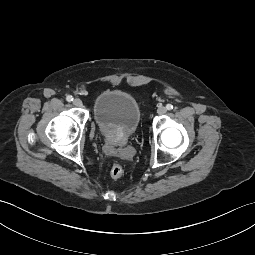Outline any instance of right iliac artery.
Here are the masks:
<instances>
[{
  "label": "right iliac artery",
  "mask_w": 255,
  "mask_h": 255,
  "mask_svg": "<svg viewBox=\"0 0 255 255\" xmlns=\"http://www.w3.org/2000/svg\"><path fill=\"white\" fill-rule=\"evenodd\" d=\"M66 100H67L68 102H71V101H73V97H72L71 95H68V96L66 97Z\"/></svg>",
  "instance_id": "82829eb1"
}]
</instances>
